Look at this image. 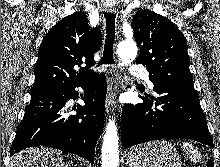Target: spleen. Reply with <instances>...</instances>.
<instances>
[{"instance_id": "obj_1", "label": "spleen", "mask_w": 220, "mask_h": 167, "mask_svg": "<svg viewBox=\"0 0 220 167\" xmlns=\"http://www.w3.org/2000/svg\"><path fill=\"white\" fill-rule=\"evenodd\" d=\"M186 153V156L193 162L197 163L201 160V154L197 151V149L188 142H183L181 146Z\"/></svg>"}]
</instances>
